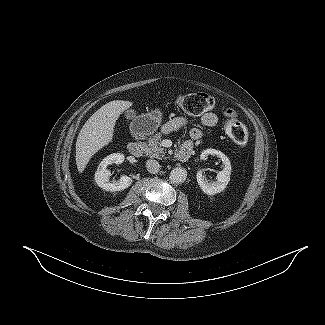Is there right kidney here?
Instances as JSON below:
<instances>
[{
	"label": "right kidney",
	"mask_w": 325,
	"mask_h": 325,
	"mask_svg": "<svg viewBox=\"0 0 325 325\" xmlns=\"http://www.w3.org/2000/svg\"><path fill=\"white\" fill-rule=\"evenodd\" d=\"M125 159V156L121 153L110 154L105 157L99 164L97 171L95 172V182L97 185L106 191H121L128 188L132 184V179L128 176H122L118 181L109 182L111 176L110 171L106 168L113 163L121 164Z\"/></svg>",
	"instance_id": "obj_1"
}]
</instances>
